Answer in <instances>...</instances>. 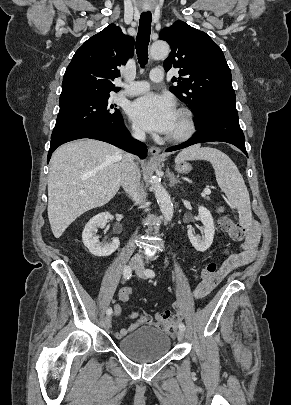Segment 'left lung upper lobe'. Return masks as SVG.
Here are the masks:
<instances>
[{
	"mask_svg": "<svg viewBox=\"0 0 291 405\" xmlns=\"http://www.w3.org/2000/svg\"><path fill=\"white\" fill-rule=\"evenodd\" d=\"M159 38L171 46L165 70L176 68L180 74L172 78L178 85L170 90L192 109L196 127L207 120L214 108L235 107L230 68L221 48L208 34L176 21L163 29Z\"/></svg>",
	"mask_w": 291,
	"mask_h": 405,
	"instance_id": "left-lung-upper-lobe-1",
	"label": "left lung upper lobe"
}]
</instances>
